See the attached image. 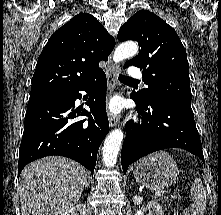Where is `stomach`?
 I'll list each match as a JSON object with an SVG mask.
<instances>
[{"label":"stomach","mask_w":221,"mask_h":215,"mask_svg":"<svg viewBox=\"0 0 221 215\" xmlns=\"http://www.w3.org/2000/svg\"><path fill=\"white\" fill-rule=\"evenodd\" d=\"M178 167L165 151L155 152L136 163L135 179L151 190H163L171 186L178 176Z\"/></svg>","instance_id":"0dacf381"}]
</instances>
